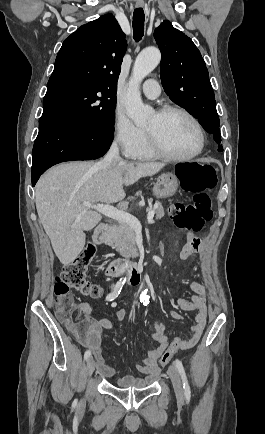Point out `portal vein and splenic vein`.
I'll return each mask as SVG.
<instances>
[{
  "label": "portal vein and splenic vein",
  "instance_id": "portal-vein-and-splenic-vein-1",
  "mask_svg": "<svg viewBox=\"0 0 265 434\" xmlns=\"http://www.w3.org/2000/svg\"><path fill=\"white\" fill-rule=\"evenodd\" d=\"M83 206H86L87 210L93 208V210H97L103 216H107V218H113V220H118V222H127L133 230H141L142 226L132 214H128V212H123V210H117L114 206H108V204H90V202H83ZM154 218V210H150L147 214L148 224H151Z\"/></svg>",
  "mask_w": 265,
  "mask_h": 434
}]
</instances>
